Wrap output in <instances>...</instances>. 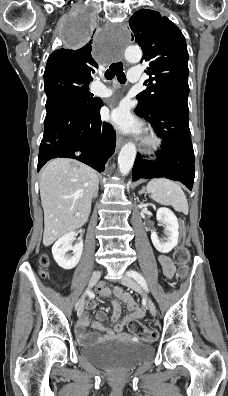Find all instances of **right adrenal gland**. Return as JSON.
<instances>
[{
	"mask_svg": "<svg viewBox=\"0 0 228 396\" xmlns=\"http://www.w3.org/2000/svg\"><path fill=\"white\" fill-rule=\"evenodd\" d=\"M98 196V190L94 193L93 198H96Z\"/></svg>",
	"mask_w": 228,
	"mask_h": 396,
	"instance_id": "1",
	"label": "right adrenal gland"
}]
</instances>
